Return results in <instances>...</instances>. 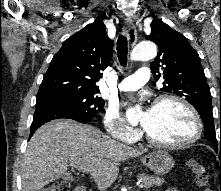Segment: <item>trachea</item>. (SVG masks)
Wrapping results in <instances>:
<instances>
[{
  "mask_svg": "<svg viewBox=\"0 0 221 191\" xmlns=\"http://www.w3.org/2000/svg\"><path fill=\"white\" fill-rule=\"evenodd\" d=\"M127 54H128L127 38L124 37L123 35H120L117 40V56L122 66H126L127 64Z\"/></svg>",
  "mask_w": 221,
  "mask_h": 191,
  "instance_id": "trachea-1",
  "label": "trachea"
}]
</instances>
